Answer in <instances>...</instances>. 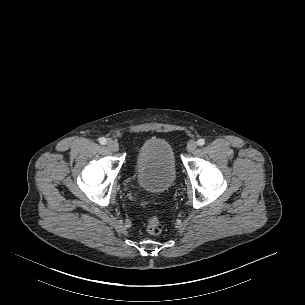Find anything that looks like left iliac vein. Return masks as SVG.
I'll return each instance as SVG.
<instances>
[{"mask_svg": "<svg viewBox=\"0 0 305 305\" xmlns=\"http://www.w3.org/2000/svg\"><path fill=\"white\" fill-rule=\"evenodd\" d=\"M197 148V142L194 140H191L187 144V151L193 152Z\"/></svg>", "mask_w": 305, "mask_h": 305, "instance_id": "obj_1", "label": "left iliac vein"}]
</instances>
